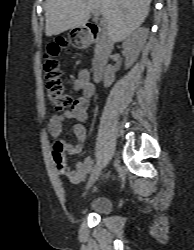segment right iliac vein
<instances>
[{
	"instance_id": "right-iliac-vein-1",
	"label": "right iliac vein",
	"mask_w": 194,
	"mask_h": 250,
	"mask_svg": "<svg viewBox=\"0 0 194 250\" xmlns=\"http://www.w3.org/2000/svg\"><path fill=\"white\" fill-rule=\"evenodd\" d=\"M101 170H102L101 164H97L95 166L92 174H91V177H90L89 182L87 184V189L92 187V185L99 179V177L101 175Z\"/></svg>"
}]
</instances>
